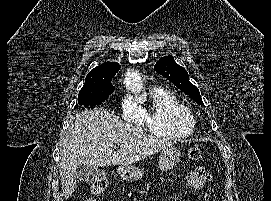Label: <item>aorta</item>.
<instances>
[{
    "label": "aorta",
    "mask_w": 271,
    "mask_h": 201,
    "mask_svg": "<svg viewBox=\"0 0 271 201\" xmlns=\"http://www.w3.org/2000/svg\"><path fill=\"white\" fill-rule=\"evenodd\" d=\"M128 87L136 93H140V91L142 90V85L137 80L128 81Z\"/></svg>",
    "instance_id": "obj_1"
}]
</instances>
